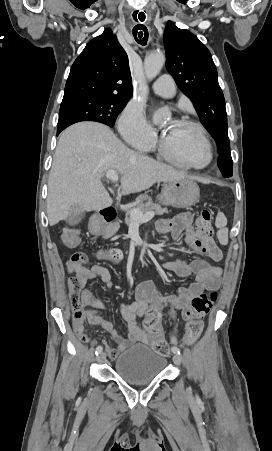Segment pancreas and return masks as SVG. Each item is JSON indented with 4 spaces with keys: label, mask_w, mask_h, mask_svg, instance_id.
I'll list each match as a JSON object with an SVG mask.
<instances>
[{
    "label": "pancreas",
    "mask_w": 272,
    "mask_h": 451,
    "mask_svg": "<svg viewBox=\"0 0 272 451\" xmlns=\"http://www.w3.org/2000/svg\"><path fill=\"white\" fill-rule=\"evenodd\" d=\"M137 200H147V202H141V204H137V206H134L133 210H140V212H143V214H146V212H154V214H158V216H162V214H169L167 208H161V206H159V204H153V202H151V200H148V196H145V194H143V196H139V198H137ZM131 212V210H130ZM130 212H127L126 214V218H125V224H127V226H130V224H132V218H130ZM119 227V224H110V226H108V231L109 233H111V235H114V233H116L117 229Z\"/></svg>",
    "instance_id": "pancreas-1"
}]
</instances>
